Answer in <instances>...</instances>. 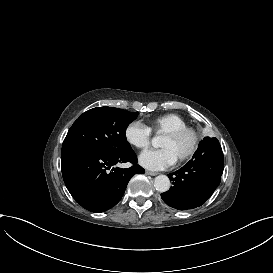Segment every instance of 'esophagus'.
I'll list each match as a JSON object with an SVG mask.
<instances>
[{
  "label": "esophagus",
  "mask_w": 273,
  "mask_h": 273,
  "mask_svg": "<svg viewBox=\"0 0 273 273\" xmlns=\"http://www.w3.org/2000/svg\"><path fill=\"white\" fill-rule=\"evenodd\" d=\"M146 175H150V176H156L158 173L157 172H153V171H145Z\"/></svg>",
  "instance_id": "34e87169"
}]
</instances>
